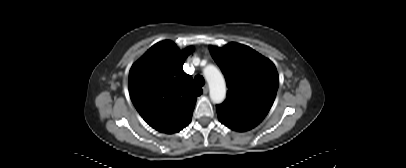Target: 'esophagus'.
Masks as SVG:
<instances>
[{
    "label": "esophagus",
    "mask_w": 406,
    "mask_h": 168,
    "mask_svg": "<svg viewBox=\"0 0 406 168\" xmlns=\"http://www.w3.org/2000/svg\"><path fill=\"white\" fill-rule=\"evenodd\" d=\"M208 91H209L208 85H205V86L203 87V93H204V94H207Z\"/></svg>",
    "instance_id": "34e87169"
}]
</instances>
